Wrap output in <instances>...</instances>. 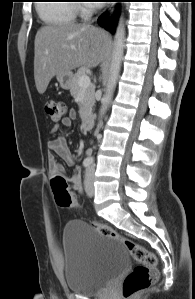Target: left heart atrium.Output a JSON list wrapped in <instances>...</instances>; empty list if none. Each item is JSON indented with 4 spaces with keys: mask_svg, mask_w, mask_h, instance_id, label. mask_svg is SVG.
<instances>
[{
    "mask_svg": "<svg viewBox=\"0 0 195 299\" xmlns=\"http://www.w3.org/2000/svg\"><path fill=\"white\" fill-rule=\"evenodd\" d=\"M97 2H98V1L94 2V3H95V5H99Z\"/></svg>",
    "mask_w": 195,
    "mask_h": 299,
    "instance_id": "left-heart-atrium-1",
    "label": "left heart atrium"
}]
</instances>
